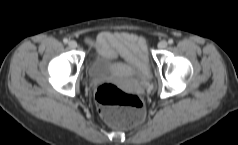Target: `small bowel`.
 I'll return each mask as SVG.
<instances>
[{
  "label": "small bowel",
  "instance_id": "small-bowel-1",
  "mask_svg": "<svg viewBox=\"0 0 238 145\" xmlns=\"http://www.w3.org/2000/svg\"><path fill=\"white\" fill-rule=\"evenodd\" d=\"M91 42L99 54L109 59L120 56L141 71L147 68V46L145 39L141 36L126 32L104 31Z\"/></svg>",
  "mask_w": 238,
  "mask_h": 145
}]
</instances>
